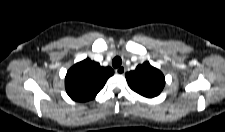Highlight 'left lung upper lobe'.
<instances>
[{
	"label": "left lung upper lobe",
	"instance_id": "1",
	"mask_svg": "<svg viewBox=\"0 0 225 132\" xmlns=\"http://www.w3.org/2000/svg\"><path fill=\"white\" fill-rule=\"evenodd\" d=\"M125 76L130 88L147 98L159 95L165 85L162 72L149 62L138 65L134 71L127 72Z\"/></svg>",
	"mask_w": 225,
	"mask_h": 132
}]
</instances>
